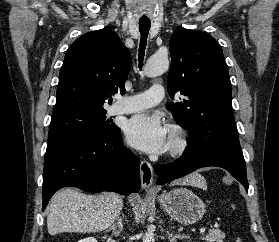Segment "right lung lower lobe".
Masks as SVG:
<instances>
[{
    "instance_id": "right-lung-lower-lobe-1",
    "label": "right lung lower lobe",
    "mask_w": 279,
    "mask_h": 242,
    "mask_svg": "<svg viewBox=\"0 0 279 242\" xmlns=\"http://www.w3.org/2000/svg\"><path fill=\"white\" fill-rule=\"evenodd\" d=\"M140 161L122 141L120 129L96 140L75 141L47 150L43 171L44 210L63 187L128 196L140 190Z\"/></svg>"
}]
</instances>
